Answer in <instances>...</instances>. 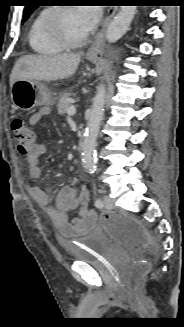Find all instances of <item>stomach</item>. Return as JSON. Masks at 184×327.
<instances>
[{"label": "stomach", "mask_w": 184, "mask_h": 327, "mask_svg": "<svg viewBox=\"0 0 184 327\" xmlns=\"http://www.w3.org/2000/svg\"><path fill=\"white\" fill-rule=\"evenodd\" d=\"M92 62L97 61V55H88ZM11 99L16 109L28 111L36 106H51L55 103L48 88L40 81L16 80L11 87Z\"/></svg>", "instance_id": "obj_1"}]
</instances>
